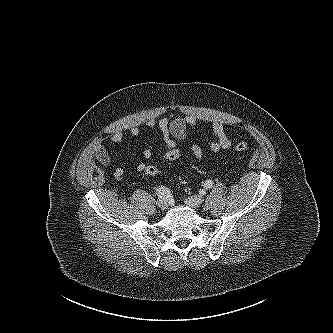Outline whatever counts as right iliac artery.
I'll use <instances>...</instances> for the list:
<instances>
[{"label": "right iliac artery", "mask_w": 333, "mask_h": 333, "mask_svg": "<svg viewBox=\"0 0 333 333\" xmlns=\"http://www.w3.org/2000/svg\"><path fill=\"white\" fill-rule=\"evenodd\" d=\"M157 194L160 198H164V199H167L171 196L168 188L162 187V186L157 189Z\"/></svg>", "instance_id": "82829eb1"}]
</instances>
